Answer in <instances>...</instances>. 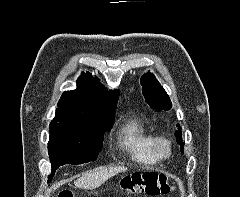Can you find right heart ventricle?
I'll return each mask as SVG.
<instances>
[{
  "mask_svg": "<svg viewBox=\"0 0 240 197\" xmlns=\"http://www.w3.org/2000/svg\"><path fill=\"white\" fill-rule=\"evenodd\" d=\"M152 139L153 135L140 120L129 118L119 131L118 144L133 161L153 166L159 162V159L152 149Z\"/></svg>",
  "mask_w": 240,
  "mask_h": 197,
  "instance_id": "obj_1",
  "label": "right heart ventricle"
}]
</instances>
